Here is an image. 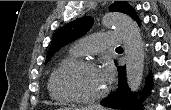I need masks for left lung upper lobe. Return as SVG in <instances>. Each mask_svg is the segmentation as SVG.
Segmentation results:
<instances>
[{
    "instance_id": "obj_1",
    "label": "left lung upper lobe",
    "mask_w": 171,
    "mask_h": 110,
    "mask_svg": "<svg viewBox=\"0 0 171 110\" xmlns=\"http://www.w3.org/2000/svg\"><path fill=\"white\" fill-rule=\"evenodd\" d=\"M110 11L125 13L133 17L137 22L139 21L134 9L127 1H115V3L110 6ZM92 23L93 20L90 17H82L69 22L60 28L53 37L45 63H47L63 46L84 35L92 27Z\"/></svg>"
}]
</instances>
